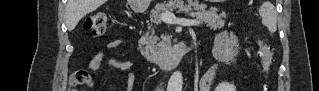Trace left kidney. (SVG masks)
<instances>
[{
    "mask_svg": "<svg viewBox=\"0 0 319 91\" xmlns=\"http://www.w3.org/2000/svg\"><path fill=\"white\" fill-rule=\"evenodd\" d=\"M216 91H236V87L234 84L222 82L216 87Z\"/></svg>",
    "mask_w": 319,
    "mask_h": 91,
    "instance_id": "5707ae66",
    "label": "left kidney"
}]
</instances>
